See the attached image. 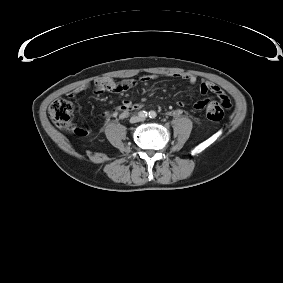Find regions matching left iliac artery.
Listing matches in <instances>:
<instances>
[{
    "label": "left iliac artery",
    "instance_id": "44dca946",
    "mask_svg": "<svg viewBox=\"0 0 283 283\" xmlns=\"http://www.w3.org/2000/svg\"><path fill=\"white\" fill-rule=\"evenodd\" d=\"M156 116H157V114H156L155 111H150V112H149V117H150L151 119H154Z\"/></svg>",
    "mask_w": 283,
    "mask_h": 283
}]
</instances>
